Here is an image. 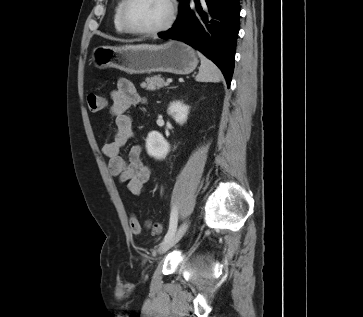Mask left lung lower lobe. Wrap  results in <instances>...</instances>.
<instances>
[{
	"mask_svg": "<svg viewBox=\"0 0 363 317\" xmlns=\"http://www.w3.org/2000/svg\"><path fill=\"white\" fill-rule=\"evenodd\" d=\"M239 17V0H180L173 27L158 36L184 41L201 51L221 69L229 87Z\"/></svg>",
	"mask_w": 363,
	"mask_h": 317,
	"instance_id": "obj_1",
	"label": "left lung lower lobe"
}]
</instances>
